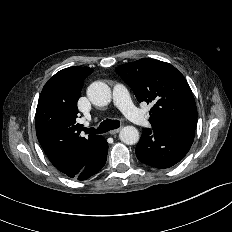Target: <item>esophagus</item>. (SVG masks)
<instances>
[{"instance_id": "34e87169", "label": "esophagus", "mask_w": 232, "mask_h": 232, "mask_svg": "<svg viewBox=\"0 0 232 232\" xmlns=\"http://www.w3.org/2000/svg\"><path fill=\"white\" fill-rule=\"evenodd\" d=\"M120 130H121V127L117 128V129L110 130V134H112V135L117 134L120 132Z\"/></svg>"}]
</instances>
